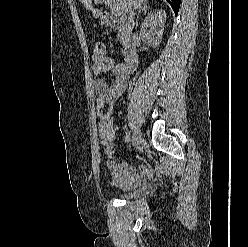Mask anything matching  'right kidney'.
I'll list each match as a JSON object with an SVG mask.
<instances>
[{"mask_svg":"<svg viewBox=\"0 0 248 247\" xmlns=\"http://www.w3.org/2000/svg\"><path fill=\"white\" fill-rule=\"evenodd\" d=\"M166 12L162 9H155L145 17L140 31V36L145 43L157 47L162 39Z\"/></svg>","mask_w":248,"mask_h":247,"instance_id":"1","label":"right kidney"}]
</instances>
